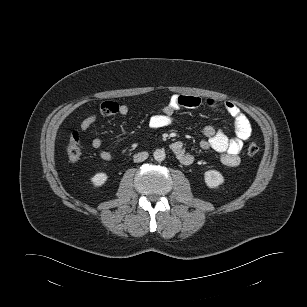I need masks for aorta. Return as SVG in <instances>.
<instances>
[{"instance_id": "aorta-1", "label": "aorta", "mask_w": 307, "mask_h": 307, "mask_svg": "<svg viewBox=\"0 0 307 307\" xmlns=\"http://www.w3.org/2000/svg\"><path fill=\"white\" fill-rule=\"evenodd\" d=\"M153 157L156 161L161 162L166 158L165 151L163 149H156L153 153Z\"/></svg>"}]
</instances>
